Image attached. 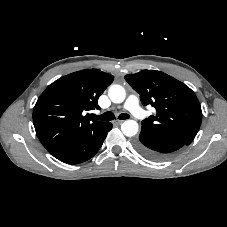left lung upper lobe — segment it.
Instances as JSON below:
<instances>
[{
	"label": "left lung upper lobe",
	"mask_w": 227,
	"mask_h": 227,
	"mask_svg": "<svg viewBox=\"0 0 227 227\" xmlns=\"http://www.w3.org/2000/svg\"><path fill=\"white\" fill-rule=\"evenodd\" d=\"M126 81L140 94L144 106H153L157 114L143 120L142 128L190 144L202 121L200 103L184 83L157 70L126 75Z\"/></svg>",
	"instance_id": "obj_1"
}]
</instances>
